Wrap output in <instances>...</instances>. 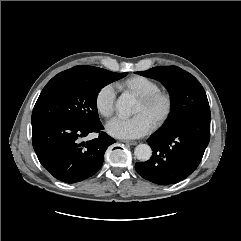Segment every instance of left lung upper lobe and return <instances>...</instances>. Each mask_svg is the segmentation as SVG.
I'll return each instance as SVG.
<instances>
[{"label":"left lung upper lobe","instance_id":"obj_1","mask_svg":"<svg viewBox=\"0 0 241 241\" xmlns=\"http://www.w3.org/2000/svg\"><path fill=\"white\" fill-rule=\"evenodd\" d=\"M160 81L171 97V114L162 130L174 129L189 120L210 116L206 93L199 81L177 66H159L136 72Z\"/></svg>","mask_w":241,"mask_h":241}]
</instances>
